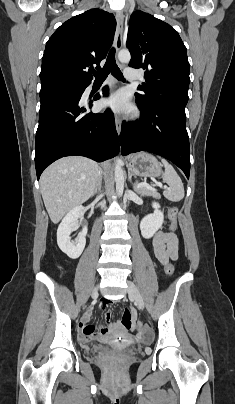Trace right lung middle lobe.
I'll use <instances>...</instances> for the list:
<instances>
[{
    "instance_id": "dd1d6c3e",
    "label": "right lung middle lobe",
    "mask_w": 235,
    "mask_h": 404,
    "mask_svg": "<svg viewBox=\"0 0 235 404\" xmlns=\"http://www.w3.org/2000/svg\"><path fill=\"white\" fill-rule=\"evenodd\" d=\"M80 92V85L65 82H51L41 85L40 97L53 93L73 95Z\"/></svg>"
}]
</instances>
